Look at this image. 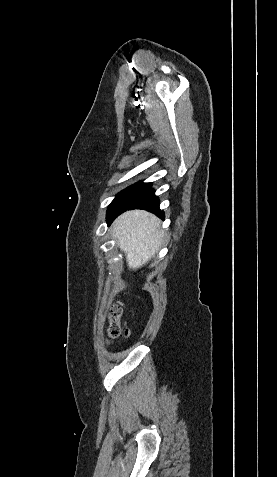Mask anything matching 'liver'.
<instances>
[{"instance_id":"1","label":"liver","mask_w":277,"mask_h":477,"mask_svg":"<svg viewBox=\"0 0 277 477\" xmlns=\"http://www.w3.org/2000/svg\"><path fill=\"white\" fill-rule=\"evenodd\" d=\"M160 220L144 210H131L113 223V237L126 254L130 269H138L157 253L163 238Z\"/></svg>"}]
</instances>
